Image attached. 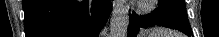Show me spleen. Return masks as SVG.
<instances>
[{
  "label": "spleen",
  "instance_id": "spleen-1",
  "mask_svg": "<svg viewBox=\"0 0 219 37\" xmlns=\"http://www.w3.org/2000/svg\"><path fill=\"white\" fill-rule=\"evenodd\" d=\"M153 35L152 37H182L180 34L178 33H172L166 29H154L153 30Z\"/></svg>",
  "mask_w": 219,
  "mask_h": 37
}]
</instances>
